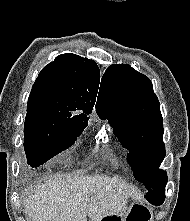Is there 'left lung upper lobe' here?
<instances>
[{
	"mask_svg": "<svg viewBox=\"0 0 190 221\" xmlns=\"http://www.w3.org/2000/svg\"><path fill=\"white\" fill-rule=\"evenodd\" d=\"M96 112L108 119L129 150L128 162L149 199L168 180L167 173L159 169L165 157L163 121L151 80L127 64L109 66L101 80Z\"/></svg>",
	"mask_w": 190,
	"mask_h": 221,
	"instance_id": "obj_1",
	"label": "left lung upper lobe"
}]
</instances>
